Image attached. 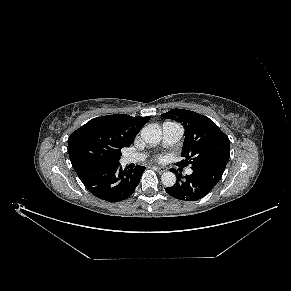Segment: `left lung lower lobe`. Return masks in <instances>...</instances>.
Instances as JSON below:
<instances>
[{
  "label": "left lung lower lobe",
  "instance_id": "1",
  "mask_svg": "<svg viewBox=\"0 0 291 291\" xmlns=\"http://www.w3.org/2000/svg\"><path fill=\"white\" fill-rule=\"evenodd\" d=\"M191 175L178 174L176 170L177 181L172 187L165 188L166 192L172 197L184 200L195 201L206 196L218 183L224 170L219 168H193Z\"/></svg>",
  "mask_w": 291,
  "mask_h": 291
}]
</instances>
